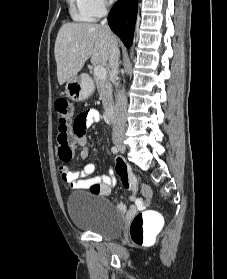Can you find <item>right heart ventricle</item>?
Here are the masks:
<instances>
[{
	"label": "right heart ventricle",
	"mask_w": 227,
	"mask_h": 279,
	"mask_svg": "<svg viewBox=\"0 0 227 279\" xmlns=\"http://www.w3.org/2000/svg\"><path fill=\"white\" fill-rule=\"evenodd\" d=\"M71 16L76 21H91L94 16L87 8L84 0H69Z\"/></svg>",
	"instance_id": "1"
}]
</instances>
